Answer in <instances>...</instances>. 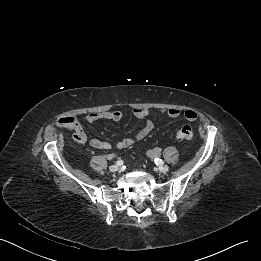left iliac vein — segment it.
Instances as JSON below:
<instances>
[{"label":"left iliac vein","mask_w":261,"mask_h":261,"mask_svg":"<svg viewBox=\"0 0 261 261\" xmlns=\"http://www.w3.org/2000/svg\"><path fill=\"white\" fill-rule=\"evenodd\" d=\"M168 170H169V167L167 165H162L159 167V171L161 173H166V172H168Z\"/></svg>","instance_id":"left-iliac-vein-1"}]
</instances>
